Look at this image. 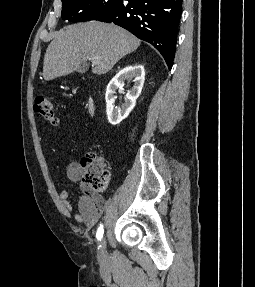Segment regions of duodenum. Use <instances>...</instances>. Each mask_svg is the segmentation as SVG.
<instances>
[{
  "label": "duodenum",
  "instance_id": "obj_1",
  "mask_svg": "<svg viewBox=\"0 0 255 287\" xmlns=\"http://www.w3.org/2000/svg\"><path fill=\"white\" fill-rule=\"evenodd\" d=\"M87 108H88L89 114L93 116L96 112V104L93 98H89Z\"/></svg>",
  "mask_w": 255,
  "mask_h": 287
}]
</instances>
